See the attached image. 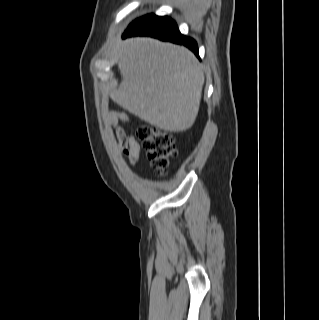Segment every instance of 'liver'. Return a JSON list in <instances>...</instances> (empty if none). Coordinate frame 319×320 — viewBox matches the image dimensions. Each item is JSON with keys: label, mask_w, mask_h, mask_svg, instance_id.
<instances>
[{"label": "liver", "mask_w": 319, "mask_h": 320, "mask_svg": "<svg viewBox=\"0 0 319 320\" xmlns=\"http://www.w3.org/2000/svg\"><path fill=\"white\" fill-rule=\"evenodd\" d=\"M122 81L110 96L141 120L182 132L198 115L204 74L187 48L149 37L123 41L118 50Z\"/></svg>", "instance_id": "1"}]
</instances>
